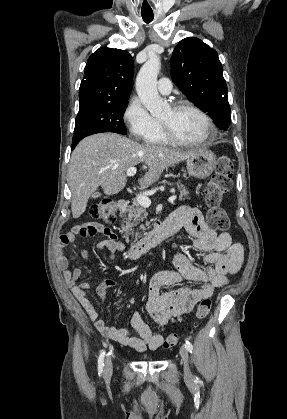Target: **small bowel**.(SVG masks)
<instances>
[{"label":"small bowel","instance_id":"c3829d8e","mask_svg":"<svg viewBox=\"0 0 287 419\" xmlns=\"http://www.w3.org/2000/svg\"><path fill=\"white\" fill-rule=\"evenodd\" d=\"M165 223L172 225L176 230L183 228L194 239V247L206 252L203 258L206 267L192 265L187 255L179 251L174 257L176 270L161 272L153 277L149 284L145 308L159 327L156 332L141 319L137 312L132 315L131 324L138 336H131L128 329L107 325L99 318L86 293L90 284L76 283L81 270L68 269V259L64 255V249L67 245L74 243L77 235H104L106 238L100 241L97 247L99 250H108L112 260L115 259L117 253H123L126 247L118 241L114 232L97 223L79 224L60 236L56 249L58 268L96 329L104 336L136 351H145L147 348L158 349L162 345L163 333L168 324L179 321L199 301L211 297L216 289L225 286L227 275L237 273L243 262L242 245L233 242L228 232L217 234L209 228L198 209L180 207L169 216ZM81 254L85 260H90L87 251H82ZM184 279L200 282L201 286L199 288L180 287L176 290L161 292L162 287L177 284ZM117 284L118 282L114 279H106L97 287L96 293L100 299H103L107 289ZM130 302L132 303L133 299H130Z\"/></svg>","mask_w":287,"mask_h":419}]
</instances>
